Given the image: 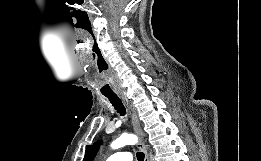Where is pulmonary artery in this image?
<instances>
[{
	"label": "pulmonary artery",
	"instance_id": "obj_1",
	"mask_svg": "<svg viewBox=\"0 0 261 161\" xmlns=\"http://www.w3.org/2000/svg\"><path fill=\"white\" fill-rule=\"evenodd\" d=\"M106 161H132V156L127 151H119L111 154Z\"/></svg>",
	"mask_w": 261,
	"mask_h": 161
}]
</instances>
